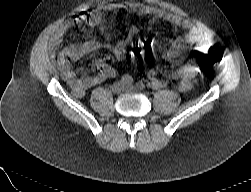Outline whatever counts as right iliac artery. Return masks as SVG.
<instances>
[{
    "instance_id": "1",
    "label": "right iliac artery",
    "mask_w": 251,
    "mask_h": 192,
    "mask_svg": "<svg viewBox=\"0 0 251 192\" xmlns=\"http://www.w3.org/2000/svg\"><path fill=\"white\" fill-rule=\"evenodd\" d=\"M121 81L124 83V84H132L133 82V78L129 75H123L121 77Z\"/></svg>"
}]
</instances>
